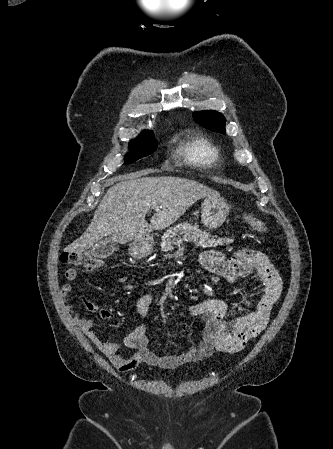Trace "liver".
Masks as SVG:
<instances>
[{
  "mask_svg": "<svg viewBox=\"0 0 333 449\" xmlns=\"http://www.w3.org/2000/svg\"><path fill=\"white\" fill-rule=\"evenodd\" d=\"M119 178L112 185L82 236L67 246L65 252L82 253L94 248L104 237L125 244L145 238L153 229L160 230L173 224L196 201L220 194L197 181L179 177ZM156 208L150 220L147 212Z\"/></svg>",
  "mask_w": 333,
  "mask_h": 449,
  "instance_id": "liver-1",
  "label": "liver"
}]
</instances>
